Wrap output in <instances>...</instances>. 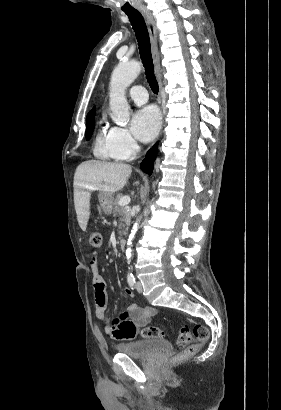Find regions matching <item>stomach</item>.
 Returning a JSON list of instances; mask_svg holds the SVG:
<instances>
[{
    "mask_svg": "<svg viewBox=\"0 0 281 410\" xmlns=\"http://www.w3.org/2000/svg\"><path fill=\"white\" fill-rule=\"evenodd\" d=\"M99 202H100L101 209L105 214L109 215L112 213L113 202H114V198L112 194L108 192L100 191Z\"/></svg>",
    "mask_w": 281,
    "mask_h": 410,
    "instance_id": "obj_1",
    "label": "stomach"
}]
</instances>
